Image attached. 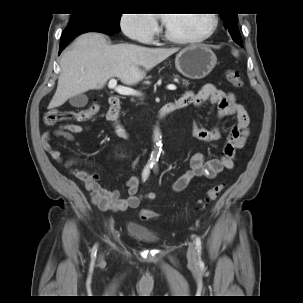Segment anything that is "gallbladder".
I'll return each instance as SVG.
<instances>
[{"label":"gallbladder","mask_w":303,"mask_h":303,"mask_svg":"<svg viewBox=\"0 0 303 303\" xmlns=\"http://www.w3.org/2000/svg\"><path fill=\"white\" fill-rule=\"evenodd\" d=\"M69 102L73 107L82 108L87 105L88 97L84 93H82L71 97Z\"/></svg>","instance_id":"gallbladder-1"}]
</instances>
